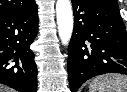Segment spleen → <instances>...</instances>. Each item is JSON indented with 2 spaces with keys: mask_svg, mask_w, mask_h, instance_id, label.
<instances>
[{
  "mask_svg": "<svg viewBox=\"0 0 127 92\" xmlns=\"http://www.w3.org/2000/svg\"><path fill=\"white\" fill-rule=\"evenodd\" d=\"M89 92H127V76L111 74L96 77L89 85Z\"/></svg>",
  "mask_w": 127,
  "mask_h": 92,
  "instance_id": "3e777b00",
  "label": "spleen"
}]
</instances>
